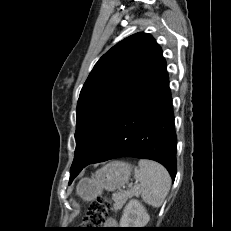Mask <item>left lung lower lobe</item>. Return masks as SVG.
Segmentation results:
<instances>
[{"label":"left lung lower lobe","mask_w":231,"mask_h":231,"mask_svg":"<svg viewBox=\"0 0 231 231\" xmlns=\"http://www.w3.org/2000/svg\"><path fill=\"white\" fill-rule=\"evenodd\" d=\"M118 157L155 160L176 175V134L165 58L161 55L117 113L87 162L70 172V182L89 164Z\"/></svg>","instance_id":"obj_1"}]
</instances>
